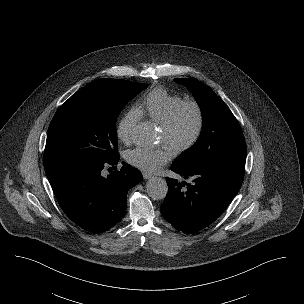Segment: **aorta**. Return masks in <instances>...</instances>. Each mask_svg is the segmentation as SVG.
I'll return each instance as SVG.
<instances>
[{"mask_svg":"<svg viewBox=\"0 0 304 304\" xmlns=\"http://www.w3.org/2000/svg\"><path fill=\"white\" fill-rule=\"evenodd\" d=\"M137 141L139 143L150 142L149 130L146 127H140L137 132ZM148 195L156 200L164 199L168 192V186L164 179L160 177H152L146 183Z\"/></svg>","mask_w":304,"mask_h":304,"instance_id":"762f6f07","label":"aorta"}]
</instances>
